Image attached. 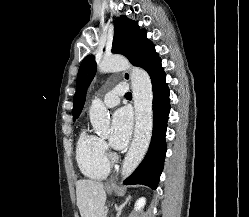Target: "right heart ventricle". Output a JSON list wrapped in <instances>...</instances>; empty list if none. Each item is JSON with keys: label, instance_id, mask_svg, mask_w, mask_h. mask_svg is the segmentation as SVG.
Listing matches in <instances>:
<instances>
[{"label": "right heart ventricle", "instance_id": "1", "mask_svg": "<svg viewBox=\"0 0 249 217\" xmlns=\"http://www.w3.org/2000/svg\"><path fill=\"white\" fill-rule=\"evenodd\" d=\"M76 160L82 174L90 179H104L110 172V163L99 137L82 129L77 145Z\"/></svg>", "mask_w": 249, "mask_h": 217}]
</instances>
